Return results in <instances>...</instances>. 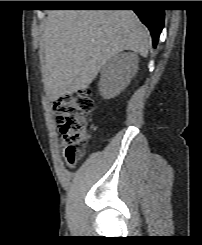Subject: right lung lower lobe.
<instances>
[{"label":"right lung lower lobe","mask_w":202,"mask_h":245,"mask_svg":"<svg viewBox=\"0 0 202 245\" xmlns=\"http://www.w3.org/2000/svg\"><path fill=\"white\" fill-rule=\"evenodd\" d=\"M82 6H110L102 3H83ZM149 1H135L133 11L138 15L144 25L148 27L152 35L153 47L156 48L160 33L164 25L165 13L162 9L149 7ZM112 6V5H111Z\"/></svg>","instance_id":"1"}]
</instances>
